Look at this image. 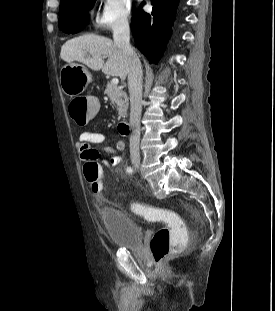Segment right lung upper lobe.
I'll return each instance as SVG.
<instances>
[{
  "label": "right lung upper lobe",
  "mask_w": 275,
  "mask_h": 311,
  "mask_svg": "<svg viewBox=\"0 0 275 311\" xmlns=\"http://www.w3.org/2000/svg\"><path fill=\"white\" fill-rule=\"evenodd\" d=\"M64 1H66V0H61V3L64 2Z\"/></svg>",
  "instance_id": "1"
}]
</instances>
